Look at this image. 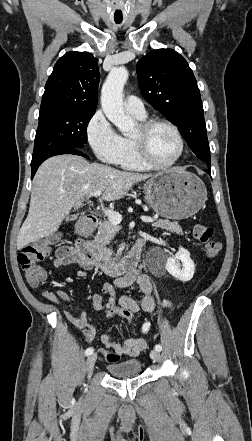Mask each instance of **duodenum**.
Returning a JSON list of instances; mask_svg holds the SVG:
<instances>
[{"label": "duodenum", "mask_w": 252, "mask_h": 441, "mask_svg": "<svg viewBox=\"0 0 252 441\" xmlns=\"http://www.w3.org/2000/svg\"><path fill=\"white\" fill-rule=\"evenodd\" d=\"M98 218L88 215L76 231L80 237L75 242L78 256L85 264L98 267L106 275L119 276L133 272L139 262L141 243H138L124 258L115 260L101 255L94 244L85 237L97 226Z\"/></svg>", "instance_id": "obj_1"}]
</instances>
